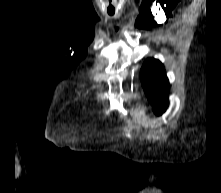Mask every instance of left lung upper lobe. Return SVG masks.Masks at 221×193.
Instances as JSON below:
<instances>
[{
	"instance_id": "5c2ea615",
	"label": "left lung upper lobe",
	"mask_w": 221,
	"mask_h": 193,
	"mask_svg": "<svg viewBox=\"0 0 221 193\" xmlns=\"http://www.w3.org/2000/svg\"><path fill=\"white\" fill-rule=\"evenodd\" d=\"M140 78L154 112L161 115L168 106L169 93V82L163 65L156 59H147L142 66Z\"/></svg>"
}]
</instances>
